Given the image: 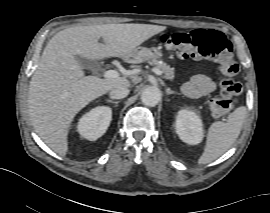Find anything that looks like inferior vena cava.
Masks as SVG:
<instances>
[{"label":"inferior vena cava","mask_w":270,"mask_h":213,"mask_svg":"<svg viewBox=\"0 0 270 213\" xmlns=\"http://www.w3.org/2000/svg\"><path fill=\"white\" fill-rule=\"evenodd\" d=\"M129 94V89L125 86H119L110 91L109 95L112 99H123Z\"/></svg>","instance_id":"602c4592"}]
</instances>
